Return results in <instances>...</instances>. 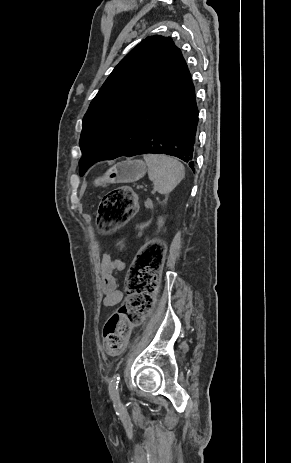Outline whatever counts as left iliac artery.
I'll return each instance as SVG.
<instances>
[{"label": "left iliac artery", "mask_w": 291, "mask_h": 463, "mask_svg": "<svg viewBox=\"0 0 291 463\" xmlns=\"http://www.w3.org/2000/svg\"><path fill=\"white\" fill-rule=\"evenodd\" d=\"M119 381H120V375L119 373H116L111 379L110 384H109V393L114 402H117L119 400V394H118Z\"/></svg>", "instance_id": "left-iliac-artery-1"}]
</instances>
